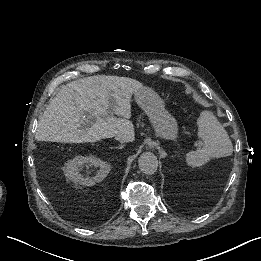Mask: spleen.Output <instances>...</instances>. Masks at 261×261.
Here are the masks:
<instances>
[{"instance_id":"spleen-1","label":"spleen","mask_w":261,"mask_h":261,"mask_svg":"<svg viewBox=\"0 0 261 261\" xmlns=\"http://www.w3.org/2000/svg\"><path fill=\"white\" fill-rule=\"evenodd\" d=\"M197 140L203 142L201 149L189 152L185 159L189 167H202L213 159H221L232 154L233 147L227 132L217 119L203 112L196 119Z\"/></svg>"}]
</instances>
